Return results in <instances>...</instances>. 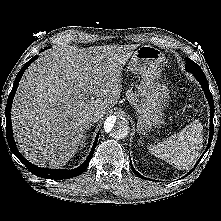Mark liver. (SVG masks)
I'll return each instance as SVG.
<instances>
[{
    "label": "liver",
    "instance_id": "liver-1",
    "mask_svg": "<svg viewBox=\"0 0 221 221\" xmlns=\"http://www.w3.org/2000/svg\"><path fill=\"white\" fill-rule=\"evenodd\" d=\"M138 46H60L32 63L11 110L15 140L25 158L42 167L64 166L81 145L89 114L106 113L117 104L123 67Z\"/></svg>",
    "mask_w": 221,
    "mask_h": 221
}]
</instances>
